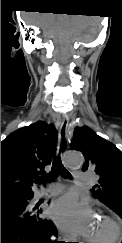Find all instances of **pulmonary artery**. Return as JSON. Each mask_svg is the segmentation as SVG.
I'll list each match as a JSON object with an SVG mask.
<instances>
[{
	"label": "pulmonary artery",
	"mask_w": 122,
	"mask_h": 243,
	"mask_svg": "<svg viewBox=\"0 0 122 243\" xmlns=\"http://www.w3.org/2000/svg\"><path fill=\"white\" fill-rule=\"evenodd\" d=\"M75 174H76L78 182H80V183H85V182L91 180V177H92V174L89 172L76 171ZM60 191H61L60 186L51 187V188L40 191L37 194V197L40 198V197L48 196L50 194H56V193H59Z\"/></svg>",
	"instance_id": "1"
}]
</instances>
